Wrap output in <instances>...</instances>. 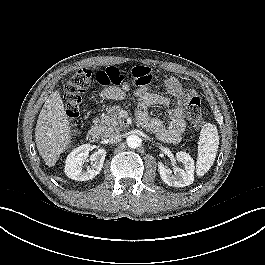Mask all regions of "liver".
I'll return each instance as SVG.
<instances>
[{
    "label": "liver",
    "instance_id": "1",
    "mask_svg": "<svg viewBox=\"0 0 265 265\" xmlns=\"http://www.w3.org/2000/svg\"><path fill=\"white\" fill-rule=\"evenodd\" d=\"M58 91L45 101L35 128V141L46 165L53 167L60 154L71 144L72 131Z\"/></svg>",
    "mask_w": 265,
    "mask_h": 265
}]
</instances>
